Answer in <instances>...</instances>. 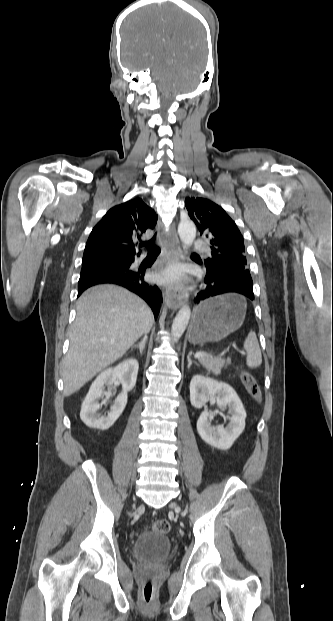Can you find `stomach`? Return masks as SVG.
Instances as JSON below:
<instances>
[{"mask_svg":"<svg viewBox=\"0 0 333 621\" xmlns=\"http://www.w3.org/2000/svg\"><path fill=\"white\" fill-rule=\"evenodd\" d=\"M246 304L236 294L210 298L197 306L188 339L193 344L219 342L241 327Z\"/></svg>","mask_w":333,"mask_h":621,"instance_id":"stomach-1","label":"stomach"}]
</instances>
